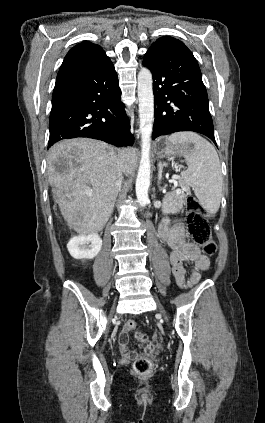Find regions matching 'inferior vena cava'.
<instances>
[{"label": "inferior vena cava", "mask_w": 265, "mask_h": 423, "mask_svg": "<svg viewBox=\"0 0 265 423\" xmlns=\"http://www.w3.org/2000/svg\"><path fill=\"white\" fill-rule=\"evenodd\" d=\"M123 169H125V167L123 165H121L120 168H119L118 181H117V186H118L119 190L121 188V183H122V170Z\"/></svg>", "instance_id": "602c4592"}]
</instances>
